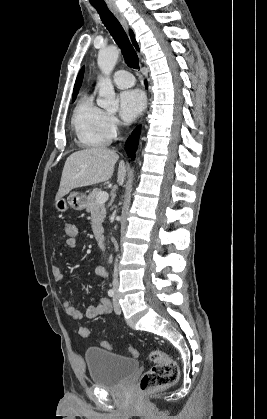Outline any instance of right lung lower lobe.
I'll return each instance as SVG.
<instances>
[{"mask_svg": "<svg viewBox=\"0 0 267 419\" xmlns=\"http://www.w3.org/2000/svg\"><path fill=\"white\" fill-rule=\"evenodd\" d=\"M139 134H140V127L138 126L135 128V130L132 132V134L129 136L126 142L127 155L132 159L135 158V152L138 146Z\"/></svg>", "mask_w": 267, "mask_h": 419, "instance_id": "obj_1", "label": "right lung lower lobe"}]
</instances>
